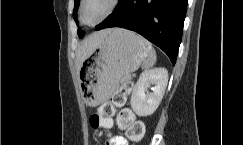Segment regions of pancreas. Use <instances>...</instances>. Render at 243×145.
I'll return each instance as SVG.
<instances>
[{
	"label": "pancreas",
	"mask_w": 243,
	"mask_h": 145,
	"mask_svg": "<svg viewBox=\"0 0 243 145\" xmlns=\"http://www.w3.org/2000/svg\"><path fill=\"white\" fill-rule=\"evenodd\" d=\"M130 78L128 75H125L123 78H122V82H126L128 81Z\"/></svg>",
	"instance_id": "pancreas-1"
}]
</instances>
